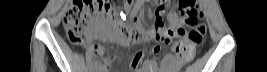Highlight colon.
Masks as SVG:
<instances>
[{"label":"colon","instance_id":"colon-1","mask_svg":"<svg viewBox=\"0 0 267 72\" xmlns=\"http://www.w3.org/2000/svg\"><path fill=\"white\" fill-rule=\"evenodd\" d=\"M119 1L110 0H72L63 11V23L69 37V40L74 45H81L83 43V36L90 26L91 17L102 16L107 19V29L116 31L117 12L112 6L113 3ZM129 5L131 0L120 1ZM196 0H180L179 7L184 13L185 23L188 30L180 29L184 34L185 40L178 46L179 63L190 62L196 53V47L200 45L205 37V25L200 22L203 18L197 19L199 9ZM165 10V1L154 10V15L158 21V26L150 35V40L153 43L154 50L159 52L164 45H168L172 41V33L169 29L160 26V17ZM122 36L131 43H137L142 39V34L136 29L124 28L121 31Z\"/></svg>","mask_w":267,"mask_h":72}]
</instances>
